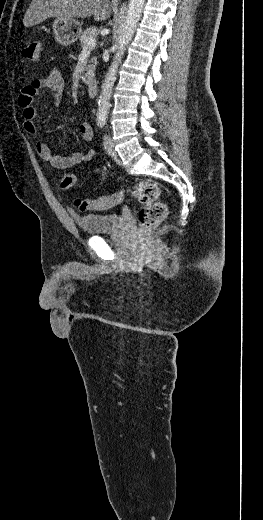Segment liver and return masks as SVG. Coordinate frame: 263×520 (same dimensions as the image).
I'll list each match as a JSON object with an SVG mask.
<instances>
[{
  "mask_svg": "<svg viewBox=\"0 0 263 520\" xmlns=\"http://www.w3.org/2000/svg\"><path fill=\"white\" fill-rule=\"evenodd\" d=\"M117 0H32L25 13V27L37 25L47 18L64 19L94 17L95 21L108 19L111 12L117 13Z\"/></svg>",
  "mask_w": 263,
  "mask_h": 520,
  "instance_id": "obj_1",
  "label": "liver"
}]
</instances>
